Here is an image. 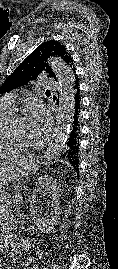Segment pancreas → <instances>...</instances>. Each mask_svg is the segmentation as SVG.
<instances>
[{
  "mask_svg": "<svg viewBox=\"0 0 118 269\" xmlns=\"http://www.w3.org/2000/svg\"><path fill=\"white\" fill-rule=\"evenodd\" d=\"M33 181V177H23L22 179H18V182H11V187L9 188V191L20 192L21 190H25L26 186L24 184H30Z\"/></svg>",
  "mask_w": 118,
  "mask_h": 269,
  "instance_id": "obj_1",
  "label": "pancreas"
}]
</instances>
